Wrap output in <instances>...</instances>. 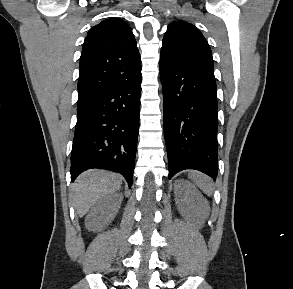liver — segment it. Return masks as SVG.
<instances>
[{"label": "liver", "instance_id": "6515ba94", "mask_svg": "<svg viewBox=\"0 0 293 289\" xmlns=\"http://www.w3.org/2000/svg\"><path fill=\"white\" fill-rule=\"evenodd\" d=\"M122 177L105 170H88L71 185V198L77 214L82 217L107 194L121 188Z\"/></svg>", "mask_w": 293, "mask_h": 289}]
</instances>
